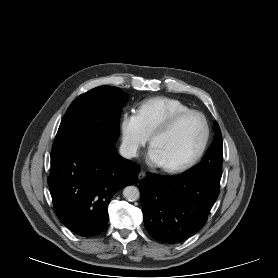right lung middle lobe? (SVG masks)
Instances as JSON below:
<instances>
[{
	"label": "right lung middle lobe",
	"instance_id": "obj_1",
	"mask_svg": "<svg viewBox=\"0 0 278 278\" xmlns=\"http://www.w3.org/2000/svg\"><path fill=\"white\" fill-rule=\"evenodd\" d=\"M127 95L113 86L96 87L76 98L59 126L52 151L93 140H117Z\"/></svg>",
	"mask_w": 278,
	"mask_h": 278
}]
</instances>
